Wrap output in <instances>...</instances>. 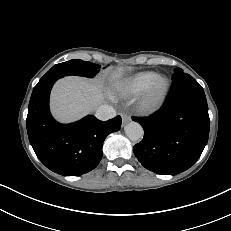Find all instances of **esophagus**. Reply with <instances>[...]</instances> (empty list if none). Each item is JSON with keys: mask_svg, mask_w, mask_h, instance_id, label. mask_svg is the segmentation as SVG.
<instances>
[{"mask_svg": "<svg viewBox=\"0 0 231 231\" xmlns=\"http://www.w3.org/2000/svg\"><path fill=\"white\" fill-rule=\"evenodd\" d=\"M121 117H122L123 125H125L131 121V117L126 113H121Z\"/></svg>", "mask_w": 231, "mask_h": 231, "instance_id": "34e87169", "label": "esophagus"}]
</instances>
